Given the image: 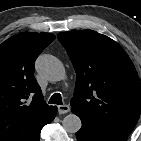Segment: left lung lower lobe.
Here are the masks:
<instances>
[{
  "mask_svg": "<svg viewBox=\"0 0 141 141\" xmlns=\"http://www.w3.org/2000/svg\"><path fill=\"white\" fill-rule=\"evenodd\" d=\"M74 113L78 115L76 112ZM81 121H82V127L76 133V137L78 141H126L127 140L128 136L105 131L98 126L91 124L87 120L81 119Z\"/></svg>",
  "mask_w": 141,
  "mask_h": 141,
  "instance_id": "obj_1",
  "label": "left lung lower lobe"
}]
</instances>
